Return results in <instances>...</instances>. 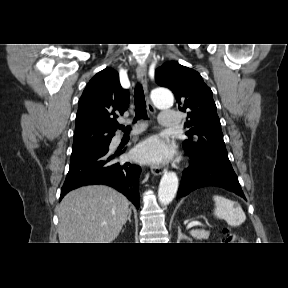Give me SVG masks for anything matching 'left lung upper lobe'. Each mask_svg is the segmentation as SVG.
Masks as SVG:
<instances>
[{
    "label": "left lung upper lobe",
    "mask_w": 288,
    "mask_h": 288,
    "mask_svg": "<svg viewBox=\"0 0 288 288\" xmlns=\"http://www.w3.org/2000/svg\"><path fill=\"white\" fill-rule=\"evenodd\" d=\"M155 80L158 85L172 90L179 109L188 113L189 120L185 123L189 128L188 139L183 142L186 153L231 165L212 91L201 75L176 61H169L155 71Z\"/></svg>",
    "instance_id": "1"
}]
</instances>
